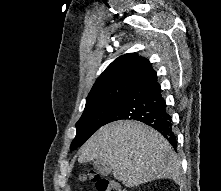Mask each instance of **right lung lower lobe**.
<instances>
[{
    "label": "right lung lower lobe",
    "mask_w": 221,
    "mask_h": 191,
    "mask_svg": "<svg viewBox=\"0 0 221 191\" xmlns=\"http://www.w3.org/2000/svg\"><path fill=\"white\" fill-rule=\"evenodd\" d=\"M122 119L137 120L153 127L176 149L177 139L172 130L171 116L167 113L156 74L122 97L104 125Z\"/></svg>",
    "instance_id": "right-lung-lower-lobe-1"
}]
</instances>
